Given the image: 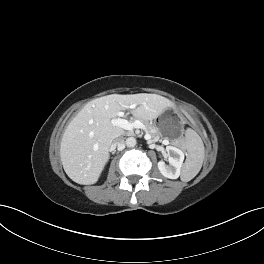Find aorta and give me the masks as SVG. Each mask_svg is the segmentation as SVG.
<instances>
[{
    "label": "aorta",
    "mask_w": 264,
    "mask_h": 264,
    "mask_svg": "<svg viewBox=\"0 0 264 264\" xmlns=\"http://www.w3.org/2000/svg\"><path fill=\"white\" fill-rule=\"evenodd\" d=\"M137 141L134 137H128L126 139V145L127 147H134L136 145Z\"/></svg>",
    "instance_id": "aorta-1"
}]
</instances>
